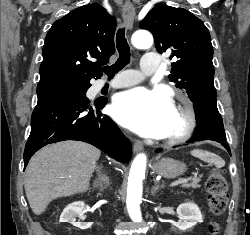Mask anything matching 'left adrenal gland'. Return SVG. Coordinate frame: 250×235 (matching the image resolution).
Here are the masks:
<instances>
[{"mask_svg": "<svg viewBox=\"0 0 250 235\" xmlns=\"http://www.w3.org/2000/svg\"><path fill=\"white\" fill-rule=\"evenodd\" d=\"M160 188H163V185H159L158 181L154 180V186L151 189V194L155 196Z\"/></svg>", "mask_w": 250, "mask_h": 235, "instance_id": "a2214340", "label": "left adrenal gland"}]
</instances>
